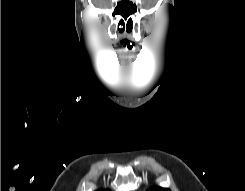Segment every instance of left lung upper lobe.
I'll return each mask as SVG.
<instances>
[{"label": "left lung upper lobe", "mask_w": 245, "mask_h": 191, "mask_svg": "<svg viewBox=\"0 0 245 191\" xmlns=\"http://www.w3.org/2000/svg\"><path fill=\"white\" fill-rule=\"evenodd\" d=\"M148 191H170V190L169 189L160 188V187H153V188L149 189Z\"/></svg>", "instance_id": "5c2ea615"}]
</instances>
